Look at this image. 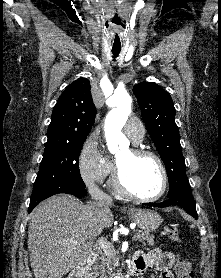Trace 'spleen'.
I'll return each instance as SVG.
<instances>
[{"instance_id": "3e777b00", "label": "spleen", "mask_w": 221, "mask_h": 278, "mask_svg": "<svg viewBox=\"0 0 221 278\" xmlns=\"http://www.w3.org/2000/svg\"><path fill=\"white\" fill-rule=\"evenodd\" d=\"M191 228H194V225H191Z\"/></svg>"}]
</instances>
